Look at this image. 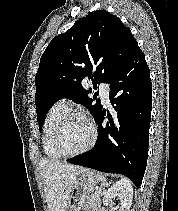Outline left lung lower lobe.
I'll return each instance as SVG.
<instances>
[{"label":"left lung lower lobe","instance_id":"0a47b994","mask_svg":"<svg viewBox=\"0 0 178 211\" xmlns=\"http://www.w3.org/2000/svg\"><path fill=\"white\" fill-rule=\"evenodd\" d=\"M113 111L102 109L96 146L67 162L127 176L140 187L146 169L152 110V84L145 56L137 46L108 82ZM108 118L106 125L103 120Z\"/></svg>","mask_w":178,"mask_h":211}]
</instances>
